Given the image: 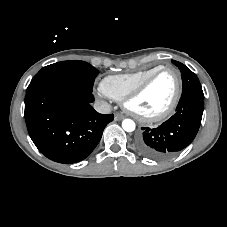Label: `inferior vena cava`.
<instances>
[{"label":"inferior vena cava","instance_id":"inferior-vena-cava-1","mask_svg":"<svg viewBox=\"0 0 227 227\" xmlns=\"http://www.w3.org/2000/svg\"><path fill=\"white\" fill-rule=\"evenodd\" d=\"M94 109L101 114H108L111 112L112 107L105 101H96L94 103Z\"/></svg>","mask_w":227,"mask_h":227}]
</instances>
